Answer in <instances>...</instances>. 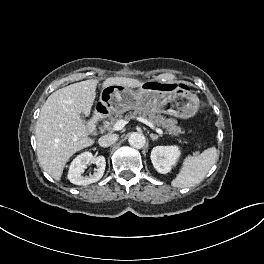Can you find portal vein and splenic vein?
Returning a JSON list of instances; mask_svg holds the SVG:
<instances>
[{"label":"portal vein and splenic vein","mask_w":264,"mask_h":264,"mask_svg":"<svg viewBox=\"0 0 264 264\" xmlns=\"http://www.w3.org/2000/svg\"><path fill=\"white\" fill-rule=\"evenodd\" d=\"M128 122L124 119H121L119 121L116 122V124L113 126V130L114 131H119L121 130ZM152 128L155 130V132H157L158 134L162 135L163 131L159 128L154 127L153 125H151Z\"/></svg>","instance_id":"obj_1"}]
</instances>
